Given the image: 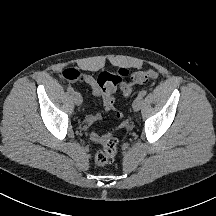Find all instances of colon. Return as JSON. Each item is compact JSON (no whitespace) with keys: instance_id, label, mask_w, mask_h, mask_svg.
<instances>
[{"instance_id":"5ec220e1","label":"colon","mask_w":216,"mask_h":216,"mask_svg":"<svg viewBox=\"0 0 216 216\" xmlns=\"http://www.w3.org/2000/svg\"><path fill=\"white\" fill-rule=\"evenodd\" d=\"M80 72L73 68L65 69L62 76L69 81H75L80 78ZM128 76L125 69H119L116 72H101L98 76L97 83L103 93V101L110 110L114 107L113 94L120 88L123 95L129 96L135 85L146 83L150 80H155L158 77V72L154 68L146 71L136 72L131 76L130 81L125 82L124 79ZM120 118L121 113L117 112ZM118 140L115 137L107 136L101 143V149L95 154V162L97 165L104 166L112 163L117 153Z\"/></svg>"}]
</instances>
